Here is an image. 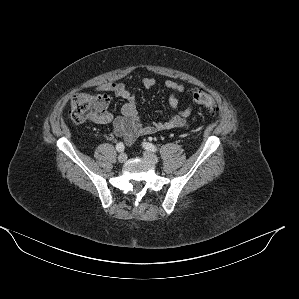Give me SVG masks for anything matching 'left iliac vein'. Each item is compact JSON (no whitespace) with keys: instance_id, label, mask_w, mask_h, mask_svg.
<instances>
[{"instance_id":"obj_1","label":"left iliac vein","mask_w":299,"mask_h":299,"mask_svg":"<svg viewBox=\"0 0 299 299\" xmlns=\"http://www.w3.org/2000/svg\"><path fill=\"white\" fill-rule=\"evenodd\" d=\"M143 156L148 159L149 161H151L154 164L158 163V158L156 155H154L153 153H151L150 151H145L143 153Z\"/></svg>"}]
</instances>
